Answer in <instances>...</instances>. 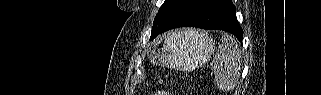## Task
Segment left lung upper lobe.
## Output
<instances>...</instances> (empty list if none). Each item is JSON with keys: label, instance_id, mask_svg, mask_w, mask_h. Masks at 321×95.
<instances>
[{"label": "left lung upper lobe", "instance_id": "5c2ea615", "mask_svg": "<svg viewBox=\"0 0 321 95\" xmlns=\"http://www.w3.org/2000/svg\"><path fill=\"white\" fill-rule=\"evenodd\" d=\"M174 0H165L163 5L160 7L154 22H153V27H152V31L157 27V25L159 24V22L161 21V19L163 18L164 14L167 12V10L169 9V7L171 6L172 2Z\"/></svg>", "mask_w": 321, "mask_h": 95}]
</instances>
